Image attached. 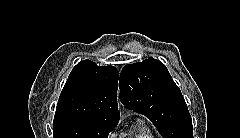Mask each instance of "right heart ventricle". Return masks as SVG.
I'll list each match as a JSON object with an SVG mask.
<instances>
[{
    "label": "right heart ventricle",
    "instance_id": "obj_1",
    "mask_svg": "<svg viewBox=\"0 0 240 138\" xmlns=\"http://www.w3.org/2000/svg\"><path fill=\"white\" fill-rule=\"evenodd\" d=\"M120 138H152V135L142 123H137L131 131Z\"/></svg>",
    "mask_w": 240,
    "mask_h": 138
}]
</instances>
